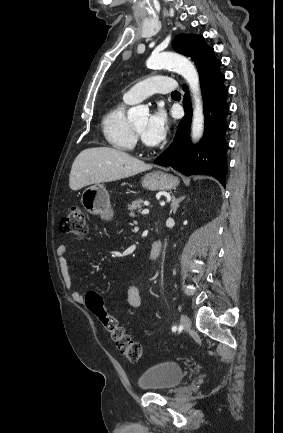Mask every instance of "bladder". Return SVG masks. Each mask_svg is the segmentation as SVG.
<instances>
[{
    "label": "bladder",
    "mask_w": 283,
    "mask_h": 433,
    "mask_svg": "<svg viewBox=\"0 0 283 433\" xmlns=\"http://www.w3.org/2000/svg\"><path fill=\"white\" fill-rule=\"evenodd\" d=\"M184 376L181 366L173 361L156 363L145 370L138 379V385L148 390H163L177 386Z\"/></svg>",
    "instance_id": "1"
}]
</instances>
